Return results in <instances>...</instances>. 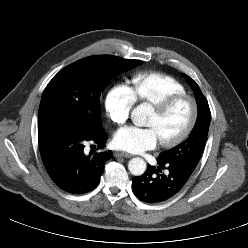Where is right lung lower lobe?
Instances as JSON below:
<instances>
[{
  "label": "right lung lower lobe",
  "instance_id": "right-lung-lower-lobe-1",
  "mask_svg": "<svg viewBox=\"0 0 248 248\" xmlns=\"http://www.w3.org/2000/svg\"><path fill=\"white\" fill-rule=\"evenodd\" d=\"M107 134L100 129L94 134H78L52 127L38 130L39 149L43 164L55 184L71 194H84L100 182L105 162L112 152L84 154V142L92 141L105 147Z\"/></svg>",
  "mask_w": 248,
  "mask_h": 248
}]
</instances>
